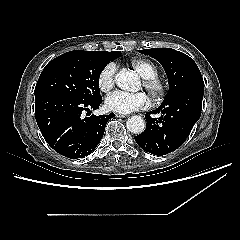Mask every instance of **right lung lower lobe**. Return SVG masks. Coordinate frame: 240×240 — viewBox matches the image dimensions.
<instances>
[{"mask_svg": "<svg viewBox=\"0 0 240 240\" xmlns=\"http://www.w3.org/2000/svg\"><path fill=\"white\" fill-rule=\"evenodd\" d=\"M102 99L86 102L64 94L35 96V118L49 146L71 159L88 156L103 137L114 114L95 116ZM87 111L86 117L83 116Z\"/></svg>", "mask_w": 240, "mask_h": 240, "instance_id": "obj_1", "label": "right lung lower lobe"}]
</instances>
